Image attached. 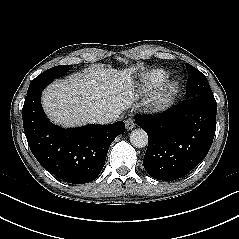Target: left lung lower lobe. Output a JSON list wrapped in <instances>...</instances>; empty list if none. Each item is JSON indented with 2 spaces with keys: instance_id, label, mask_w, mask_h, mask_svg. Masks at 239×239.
<instances>
[{
  "instance_id": "0a47b994",
  "label": "left lung lower lobe",
  "mask_w": 239,
  "mask_h": 239,
  "mask_svg": "<svg viewBox=\"0 0 239 239\" xmlns=\"http://www.w3.org/2000/svg\"><path fill=\"white\" fill-rule=\"evenodd\" d=\"M216 111L214 96H195L160 115L136 116L149 139L143 160L148 174L172 181L194 169L212 145Z\"/></svg>"
}]
</instances>
